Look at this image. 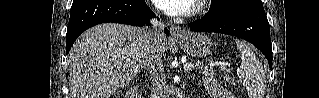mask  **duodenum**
Segmentation results:
<instances>
[{"instance_id":"obj_1","label":"duodenum","mask_w":319,"mask_h":98,"mask_svg":"<svg viewBox=\"0 0 319 98\" xmlns=\"http://www.w3.org/2000/svg\"><path fill=\"white\" fill-rule=\"evenodd\" d=\"M128 98H140V96L138 95V89L136 85L130 87L128 91Z\"/></svg>"}]
</instances>
